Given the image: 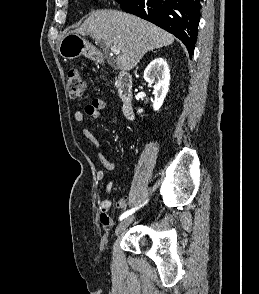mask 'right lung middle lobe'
Returning a JSON list of instances; mask_svg holds the SVG:
<instances>
[{
    "label": "right lung middle lobe",
    "mask_w": 259,
    "mask_h": 294,
    "mask_svg": "<svg viewBox=\"0 0 259 294\" xmlns=\"http://www.w3.org/2000/svg\"><path fill=\"white\" fill-rule=\"evenodd\" d=\"M118 3H121L123 0H116Z\"/></svg>",
    "instance_id": "1"
}]
</instances>
